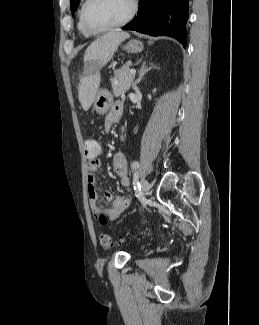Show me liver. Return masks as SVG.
I'll return each mask as SVG.
<instances>
[{"label": "liver", "instance_id": "obj_1", "mask_svg": "<svg viewBox=\"0 0 259 325\" xmlns=\"http://www.w3.org/2000/svg\"><path fill=\"white\" fill-rule=\"evenodd\" d=\"M129 36L127 32L113 30L97 38L86 49L84 62L90 63L92 67L91 70H87V75L80 79L78 87V98L85 111L90 108L99 88L100 74L98 71L112 59L118 46Z\"/></svg>", "mask_w": 259, "mask_h": 325}]
</instances>
